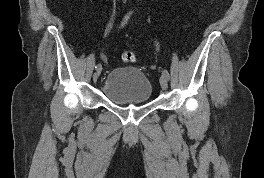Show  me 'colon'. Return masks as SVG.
I'll use <instances>...</instances> for the list:
<instances>
[{
    "label": "colon",
    "mask_w": 264,
    "mask_h": 178,
    "mask_svg": "<svg viewBox=\"0 0 264 178\" xmlns=\"http://www.w3.org/2000/svg\"><path fill=\"white\" fill-rule=\"evenodd\" d=\"M121 60L124 62V63H134L135 60H136V56L133 52L131 51H125L122 53L121 55Z\"/></svg>",
    "instance_id": "obj_1"
}]
</instances>
